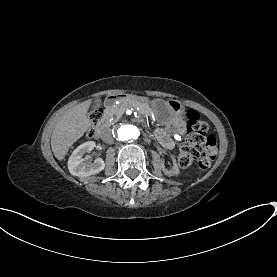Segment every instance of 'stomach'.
<instances>
[{
  "instance_id": "obj_1",
  "label": "stomach",
  "mask_w": 277,
  "mask_h": 277,
  "mask_svg": "<svg viewBox=\"0 0 277 277\" xmlns=\"http://www.w3.org/2000/svg\"><path fill=\"white\" fill-rule=\"evenodd\" d=\"M151 108L158 121L168 129L178 132L184 128V107L180 101L155 99L151 101Z\"/></svg>"
}]
</instances>
